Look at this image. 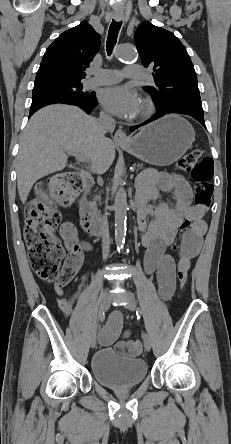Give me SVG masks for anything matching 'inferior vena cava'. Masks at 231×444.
Returning <instances> with one entry per match:
<instances>
[{
	"mask_svg": "<svg viewBox=\"0 0 231 444\" xmlns=\"http://www.w3.org/2000/svg\"><path fill=\"white\" fill-rule=\"evenodd\" d=\"M98 125L100 128V131L103 135H105L107 132H113L115 129V120L106 113H100V117L98 119ZM106 171V169L102 166H98L94 169V172L102 174ZM101 213L100 219H101V226L100 229L104 230L101 232V235L103 237V247L105 251L108 252L109 250V235L110 232H112V227H110L111 219L108 216V212H105L103 209L99 211Z\"/></svg>",
	"mask_w": 231,
	"mask_h": 444,
	"instance_id": "1",
	"label": "inferior vena cava"
}]
</instances>
